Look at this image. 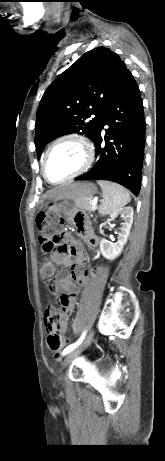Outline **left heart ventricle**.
Listing matches in <instances>:
<instances>
[{
	"label": "left heart ventricle",
	"mask_w": 165,
	"mask_h": 461,
	"mask_svg": "<svg viewBox=\"0 0 165 461\" xmlns=\"http://www.w3.org/2000/svg\"><path fill=\"white\" fill-rule=\"evenodd\" d=\"M84 155L80 146L75 142H62L56 145L46 160V171L53 181L61 180L83 163Z\"/></svg>",
	"instance_id": "left-heart-ventricle-1"
}]
</instances>
